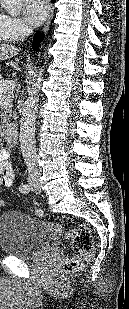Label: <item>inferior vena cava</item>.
Returning a JSON list of instances; mask_svg holds the SVG:
<instances>
[{
    "mask_svg": "<svg viewBox=\"0 0 129 309\" xmlns=\"http://www.w3.org/2000/svg\"><path fill=\"white\" fill-rule=\"evenodd\" d=\"M26 33H27V34L33 33V29H31V28H29V27H26Z\"/></svg>",
    "mask_w": 129,
    "mask_h": 309,
    "instance_id": "inferior-vena-cava-1",
    "label": "inferior vena cava"
}]
</instances>
